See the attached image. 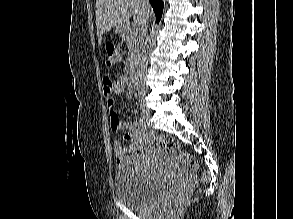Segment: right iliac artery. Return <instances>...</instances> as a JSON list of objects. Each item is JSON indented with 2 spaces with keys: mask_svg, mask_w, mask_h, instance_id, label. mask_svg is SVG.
<instances>
[{
  "mask_svg": "<svg viewBox=\"0 0 293 219\" xmlns=\"http://www.w3.org/2000/svg\"><path fill=\"white\" fill-rule=\"evenodd\" d=\"M140 125L143 127V128H147V121L144 119V118H140Z\"/></svg>",
  "mask_w": 293,
  "mask_h": 219,
  "instance_id": "1",
  "label": "right iliac artery"
}]
</instances>
